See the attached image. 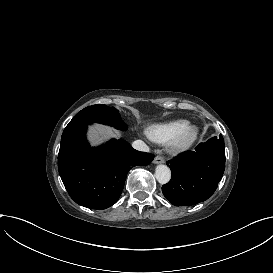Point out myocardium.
Segmentation results:
<instances>
[{
	"label": "myocardium",
	"instance_id": "obj_1",
	"mask_svg": "<svg viewBox=\"0 0 273 273\" xmlns=\"http://www.w3.org/2000/svg\"><path fill=\"white\" fill-rule=\"evenodd\" d=\"M201 133V126L195 123L188 124L180 134L172 141L171 149L174 152H182L190 148Z\"/></svg>",
	"mask_w": 273,
	"mask_h": 273
}]
</instances>
